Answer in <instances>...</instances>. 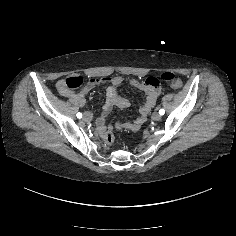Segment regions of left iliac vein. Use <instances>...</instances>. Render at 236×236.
Instances as JSON below:
<instances>
[{
    "mask_svg": "<svg viewBox=\"0 0 236 236\" xmlns=\"http://www.w3.org/2000/svg\"><path fill=\"white\" fill-rule=\"evenodd\" d=\"M152 120L154 121H158L161 119V115L159 113H153L152 116H151Z\"/></svg>",
    "mask_w": 236,
    "mask_h": 236,
    "instance_id": "4c4485c4",
    "label": "left iliac vein"
}]
</instances>
